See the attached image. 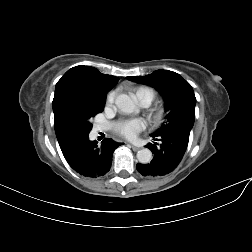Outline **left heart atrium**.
I'll return each instance as SVG.
<instances>
[{
	"instance_id": "obj_1",
	"label": "left heart atrium",
	"mask_w": 252,
	"mask_h": 252,
	"mask_svg": "<svg viewBox=\"0 0 252 252\" xmlns=\"http://www.w3.org/2000/svg\"><path fill=\"white\" fill-rule=\"evenodd\" d=\"M146 127L142 118L120 120L114 124V131L129 140L135 139Z\"/></svg>"
}]
</instances>
